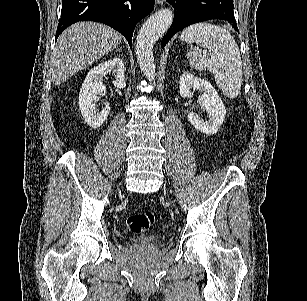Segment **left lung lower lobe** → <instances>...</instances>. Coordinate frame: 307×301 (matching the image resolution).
I'll list each match as a JSON object with an SVG mask.
<instances>
[{
    "instance_id": "obj_1",
    "label": "left lung lower lobe",
    "mask_w": 307,
    "mask_h": 301,
    "mask_svg": "<svg viewBox=\"0 0 307 301\" xmlns=\"http://www.w3.org/2000/svg\"><path fill=\"white\" fill-rule=\"evenodd\" d=\"M174 8V19L170 29L162 39V48L170 38L183 28L205 20L228 21L238 31L233 13L232 0H167Z\"/></svg>"
}]
</instances>
